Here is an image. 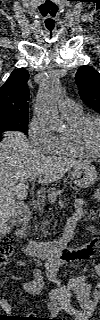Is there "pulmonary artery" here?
<instances>
[{
  "mask_svg": "<svg viewBox=\"0 0 100 320\" xmlns=\"http://www.w3.org/2000/svg\"><path fill=\"white\" fill-rule=\"evenodd\" d=\"M60 108L63 113H72L80 110L79 105L69 98L64 99L60 102Z\"/></svg>",
  "mask_w": 100,
  "mask_h": 320,
  "instance_id": "1",
  "label": "pulmonary artery"
}]
</instances>
